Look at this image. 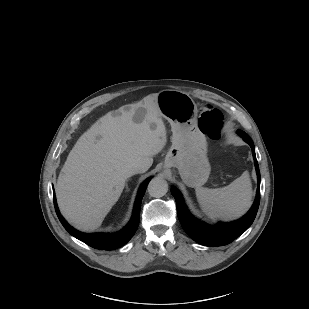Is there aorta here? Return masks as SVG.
Returning a JSON list of instances; mask_svg holds the SVG:
<instances>
[{
    "label": "aorta",
    "mask_w": 309,
    "mask_h": 309,
    "mask_svg": "<svg viewBox=\"0 0 309 309\" xmlns=\"http://www.w3.org/2000/svg\"><path fill=\"white\" fill-rule=\"evenodd\" d=\"M168 191V183L161 177L153 178L148 184V193L155 198L163 197Z\"/></svg>",
    "instance_id": "1"
}]
</instances>
